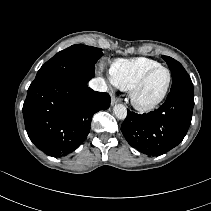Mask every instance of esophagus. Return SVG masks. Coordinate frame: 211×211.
<instances>
[{
    "label": "esophagus",
    "instance_id": "34e87169",
    "mask_svg": "<svg viewBox=\"0 0 211 211\" xmlns=\"http://www.w3.org/2000/svg\"><path fill=\"white\" fill-rule=\"evenodd\" d=\"M120 101H121L120 98L113 97V98L111 99V105H115V104L119 103Z\"/></svg>",
    "mask_w": 211,
    "mask_h": 211
}]
</instances>
